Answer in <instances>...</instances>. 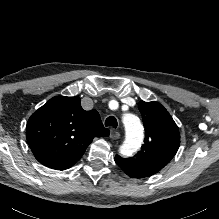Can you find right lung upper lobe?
Returning a JSON list of instances; mask_svg holds the SVG:
<instances>
[{"label": "right lung upper lobe", "mask_w": 219, "mask_h": 219, "mask_svg": "<svg viewBox=\"0 0 219 219\" xmlns=\"http://www.w3.org/2000/svg\"><path fill=\"white\" fill-rule=\"evenodd\" d=\"M108 135L99 113L85 111L77 96L53 97L32 114L26 127L35 158L55 170L71 168L94 138Z\"/></svg>", "instance_id": "right-lung-upper-lobe-1"}]
</instances>
